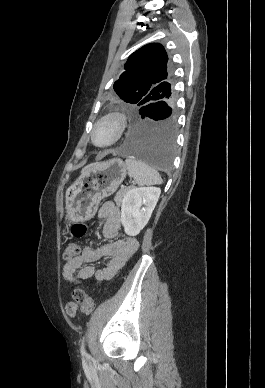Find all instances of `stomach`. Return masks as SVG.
<instances>
[{
  "instance_id": "obj_1",
  "label": "stomach",
  "mask_w": 265,
  "mask_h": 388,
  "mask_svg": "<svg viewBox=\"0 0 265 388\" xmlns=\"http://www.w3.org/2000/svg\"><path fill=\"white\" fill-rule=\"evenodd\" d=\"M126 174V165L119 158L98 162L83 170L66 191L67 219L86 221L92 218L100 201L117 190Z\"/></svg>"
}]
</instances>
